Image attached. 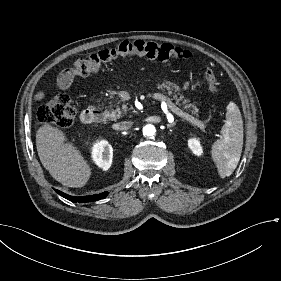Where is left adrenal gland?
Listing matches in <instances>:
<instances>
[{"mask_svg":"<svg viewBox=\"0 0 281 281\" xmlns=\"http://www.w3.org/2000/svg\"><path fill=\"white\" fill-rule=\"evenodd\" d=\"M176 122H177V121H174L173 123L167 124V127H168V128H171V127L175 126V125H176Z\"/></svg>","mask_w":281,"mask_h":281,"instance_id":"1","label":"left adrenal gland"}]
</instances>
